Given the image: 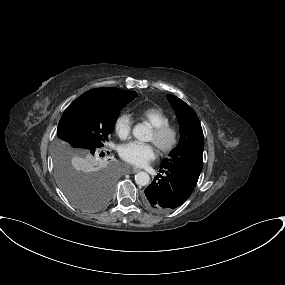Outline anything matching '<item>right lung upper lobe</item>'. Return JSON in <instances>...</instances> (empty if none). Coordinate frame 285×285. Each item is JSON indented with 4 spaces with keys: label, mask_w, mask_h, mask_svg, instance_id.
I'll use <instances>...</instances> for the list:
<instances>
[{
    "label": "right lung upper lobe",
    "mask_w": 285,
    "mask_h": 285,
    "mask_svg": "<svg viewBox=\"0 0 285 285\" xmlns=\"http://www.w3.org/2000/svg\"><path fill=\"white\" fill-rule=\"evenodd\" d=\"M115 89H118V88H95V89H91V90L87 91L86 93H94V92L107 93V92H111Z\"/></svg>",
    "instance_id": "cb5924a9"
}]
</instances>
